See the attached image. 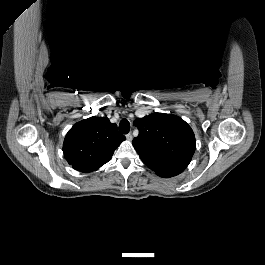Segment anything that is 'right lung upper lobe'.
<instances>
[{
	"label": "right lung upper lobe",
	"mask_w": 265,
	"mask_h": 265,
	"mask_svg": "<svg viewBox=\"0 0 265 265\" xmlns=\"http://www.w3.org/2000/svg\"><path fill=\"white\" fill-rule=\"evenodd\" d=\"M126 138L107 117H90L76 123L67 133L63 152L72 167L92 172L107 163Z\"/></svg>",
	"instance_id": "obj_1"
}]
</instances>
